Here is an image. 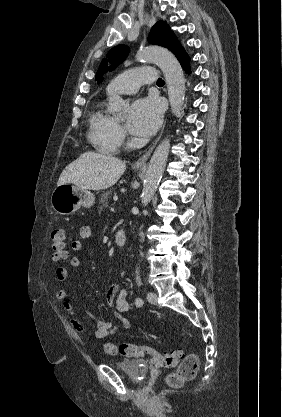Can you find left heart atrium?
<instances>
[{"mask_svg":"<svg viewBox=\"0 0 282 417\" xmlns=\"http://www.w3.org/2000/svg\"><path fill=\"white\" fill-rule=\"evenodd\" d=\"M162 119V107L157 99H140L130 110L127 127L135 135L148 136L156 131Z\"/></svg>","mask_w":282,"mask_h":417,"instance_id":"1","label":"left heart atrium"}]
</instances>
